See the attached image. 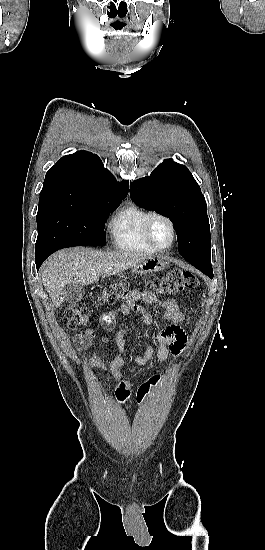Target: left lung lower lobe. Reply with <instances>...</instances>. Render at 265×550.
<instances>
[{"mask_svg":"<svg viewBox=\"0 0 265 550\" xmlns=\"http://www.w3.org/2000/svg\"><path fill=\"white\" fill-rule=\"evenodd\" d=\"M187 262L191 263L194 267L202 271L211 279L213 278V270L211 266V255L210 256H197L188 258Z\"/></svg>","mask_w":265,"mask_h":550,"instance_id":"obj_1","label":"left lung lower lobe"}]
</instances>
